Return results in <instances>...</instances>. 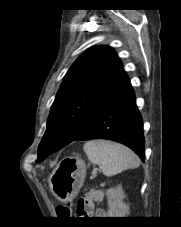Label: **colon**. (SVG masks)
I'll use <instances>...</instances> for the list:
<instances>
[{
	"instance_id": "5ec220e1",
	"label": "colon",
	"mask_w": 181,
	"mask_h": 227,
	"mask_svg": "<svg viewBox=\"0 0 181 227\" xmlns=\"http://www.w3.org/2000/svg\"><path fill=\"white\" fill-rule=\"evenodd\" d=\"M58 213L62 216H66L70 214V206L69 204H62L59 206Z\"/></svg>"
}]
</instances>
